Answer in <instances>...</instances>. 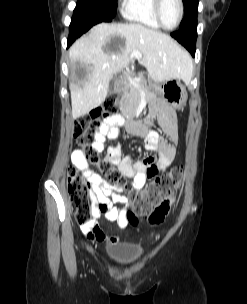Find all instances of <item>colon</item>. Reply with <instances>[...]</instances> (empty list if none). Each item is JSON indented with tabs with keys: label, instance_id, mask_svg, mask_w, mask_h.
Here are the masks:
<instances>
[{
	"label": "colon",
	"instance_id": "1",
	"mask_svg": "<svg viewBox=\"0 0 247 304\" xmlns=\"http://www.w3.org/2000/svg\"><path fill=\"white\" fill-rule=\"evenodd\" d=\"M119 100L118 93L110 94L99 107L81 116L74 125V137L86 161L88 160L99 170L110 186L116 188L125 186V181L110 162H105V159L98 156V152L92 147L91 140L103 121L115 115ZM182 177L181 168H174L159 176L154 175L144 190L130 194L126 213L128 219L135 224L139 215H146L150 225L161 224L169 212L168 202L174 201L169 196L180 188ZM67 189L78 223L80 225L90 223L94 207L91 186L76 168L68 170Z\"/></svg>",
	"mask_w": 247,
	"mask_h": 304
}]
</instances>
